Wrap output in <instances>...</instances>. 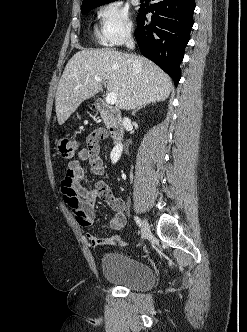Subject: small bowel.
<instances>
[{
    "instance_id": "obj_1",
    "label": "small bowel",
    "mask_w": 247,
    "mask_h": 332,
    "mask_svg": "<svg viewBox=\"0 0 247 332\" xmlns=\"http://www.w3.org/2000/svg\"><path fill=\"white\" fill-rule=\"evenodd\" d=\"M107 133L104 129L94 130L87 138V145L81 148L75 159L67 164L65 177L61 181L63 198L76 215L78 224L82 227H90L96 216V201L98 198L105 201L114 211L110 226L116 231H122L127 223L125 215L126 204L123 199L114 196L110 187L101 180L95 184V188H88L85 183V171L81 162L88 161L91 172L96 176L105 173L103 159L100 156L99 141L105 139ZM90 246L98 247L124 243L120 236L97 237L92 233L86 234Z\"/></svg>"
}]
</instances>
